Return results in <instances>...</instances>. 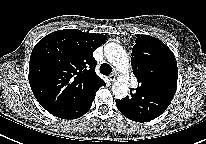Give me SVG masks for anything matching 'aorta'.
<instances>
[{
    "mask_svg": "<svg viewBox=\"0 0 206 144\" xmlns=\"http://www.w3.org/2000/svg\"><path fill=\"white\" fill-rule=\"evenodd\" d=\"M104 54L108 62L118 71L126 73L130 68L129 58L125 50L117 43L111 42L105 45ZM112 92L116 99H124L129 93L127 77L120 76L112 86Z\"/></svg>",
    "mask_w": 206,
    "mask_h": 144,
    "instance_id": "obj_1",
    "label": "aorta"
}]
</instances>
